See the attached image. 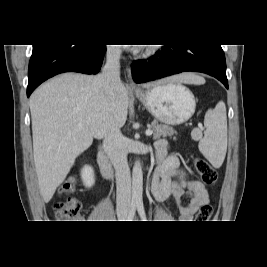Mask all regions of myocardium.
Listing matches in <instances>:
<instances>
[{"label": "myocardium", "mask_w": 267, "mask_h": 267, "mask_svg": "<svg viewBox=\"0 0 267 267\" xmlns=\"http://www.w3.org/2000/svg\"><path fill=\"white\" fill-rule=\"evenodd\" d=\"M155 51H156L155 48H149V49H147L146 54H147V55H152V54L155 53Z\"/></svg>", "instance_id": "f54148a6"}]
</instances>
